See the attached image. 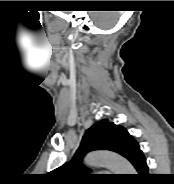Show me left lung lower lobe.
Returning a JSON list of instances; mask_svg holds the SVG:
<instances>
[{"label":"left lung lower lobe","instance_id":"0a47b994","mask_svg":"<svg viewBox=\"0 0 174 184\" xmlns=\"http://www.w3.org/2000/svg\"><path fill=\"white\" fill-rule=\"evenodd\" d=\"M126 158L132 163V165L137 170L138 174H136V176L138 178H147L149 176L146 159L143 155V152L140 150L138 143H135L132 146Z\"/></svg>","mask_w":174,"mask_h":184}]
</instances>
